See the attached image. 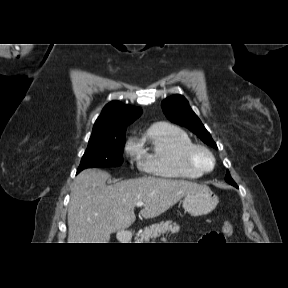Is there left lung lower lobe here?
Segmentation results:
<instances>
[{"mask_svg":"<svg viewBox=\"0 0 288 288\" xmlns=\"http://www.w3.org/2000/svg\"><path fill=\"white\" fill-rule=\"evenodd\" d=\"M230 184L238 188V186L236 185L235 182H232V183H230Z\"/></svg>","mask_w":288,"mask_h":288,"instance_id":"left-lung-lower-lobe-1","label":"left lung lower lobe"}]
</instances>
